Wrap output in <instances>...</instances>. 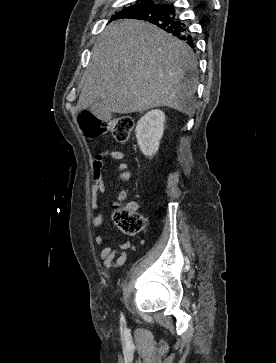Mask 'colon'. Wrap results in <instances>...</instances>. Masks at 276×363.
I'll use <instances>...</instances> for the list:
<instances>
[{
	"label": "colon",
	"mask_w": 276,
	"mask_h": 363,
	"mask_svg": "<svg viewBox=\"0 0 276 363\" xmlns=\"http://www.w3.org/2000/svg\"><path fill=\"white\" fill-rule=\"evenodd\" d=\"M78 120L81 130L86 136L94 138L110 133L118 143H126L134 128V120L130 116L100 120L90 112H82ZM111 216L113 222L128 236L137 235L145 227L143 216L131 207L116 206L113 208Z\"/></svg>",
	"instance_id": "1"
}]
</instances>
